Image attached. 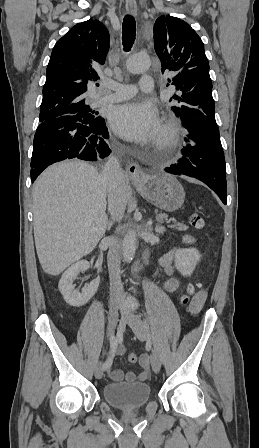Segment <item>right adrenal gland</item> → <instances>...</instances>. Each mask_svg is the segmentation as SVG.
<instances>
[{
    "label": "right adrenal gland",
    "instance_id": "2a0ac1e0",
    "mask_svg": "<svg viewBox=\"0 0 259 448\" xmlns=\"http://www.w3.org/2000/svg\"><path fill=\"white\" fill-rule=\"evenodd\" d=\"M111 226H112V222H107V228H106V230H110Z\"/></svg>",
    "mask_w": 259,
    "mask_h": 448
}]
</instances>
